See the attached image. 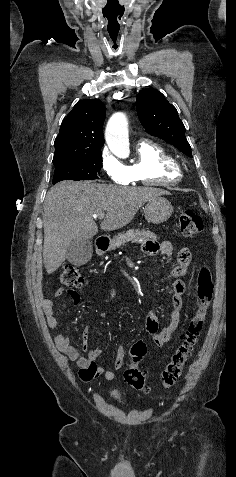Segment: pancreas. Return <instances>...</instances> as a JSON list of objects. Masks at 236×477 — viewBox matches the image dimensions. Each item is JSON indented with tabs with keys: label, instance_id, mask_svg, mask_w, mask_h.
Masks as SVG:
<instances>
[{
	"label": "pancreas",
	"instance_id": "obj_1",
	"mask_svg": "<svg viewBox=\"0 0 236 477\" xmlns=\"http://www.w3.org/2000/svg\"><path fill=\"white\" fill-rule=\"evenodd\" d=\"M155 240H157V236L151 231L131 229L126 233L118 234V236L113 238L110 242L109 250H115L116 248L120 247L121 245H125L128 242L142 244Z\"/></svg>",
	"mask_w": 236,
	"mask_h": 477
}]
</instances>
